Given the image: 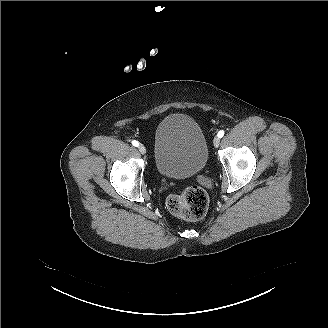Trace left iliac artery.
I'll return each instance as SVG.
<instances>
[{"label": "left iliac artery", "mask_w": 328, "mask_h": 328, "mask_svg": "<svg viewBox=\"0 0 328 328\" xmlns=\"http://www.w3.org/2000/svg\"><path fill=\"white\" fill-rule=\"evenodd\" d=\"M223 135H224V131L223 130H220L218 132V137L221 138V137H223Z\"/></svg>", "instance_id": "obj_1"}]
</instances>
